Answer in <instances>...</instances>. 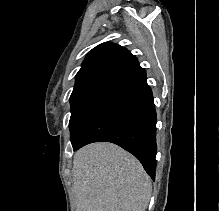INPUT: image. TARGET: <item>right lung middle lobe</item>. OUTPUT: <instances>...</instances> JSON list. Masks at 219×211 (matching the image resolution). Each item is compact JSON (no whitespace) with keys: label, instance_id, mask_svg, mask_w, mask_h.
<instances>
[{"label":"right lung middle lobe","instance_id":"right-lung-middle-lobe-1","mask_svg":"<svg viewBox=\"0 0 219 211\" xmlns=\"http://www.w3.org/2000/svg\"><path fill=\"white\" fill-rule=\"evenodd\" d=\"M112 88H97L70 97V138L74 143L93 113Z\"/></svg>","mask_w":219,"mask_h":211}]
</instances>
